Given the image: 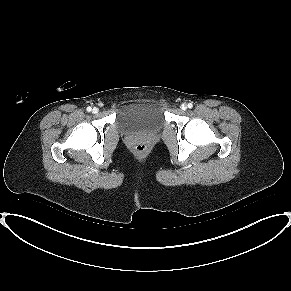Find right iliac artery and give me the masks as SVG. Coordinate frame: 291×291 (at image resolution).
Segmentation results:
<instances>
[{
	"mask_svg": "<svg viewBox=\"0 0 291 291\" xmlns=\"http://www.w3.org/2000/svg\"><path fill=\"white\" fill-rule=\"evenodd\" d=\"M88 112H90L91 110H92V108L89 106V107H87V109H86Z\"/></svg>",
	"mask_w": 291,
	"mask_h": 291,
	"instance_id": "obj_1",
	"label": "right iliac artery"
}]
</instances>
